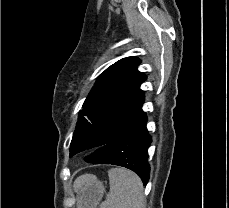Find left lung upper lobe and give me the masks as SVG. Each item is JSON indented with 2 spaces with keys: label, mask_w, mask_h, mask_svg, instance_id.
Wrapping results in <instances>:
<instances>
[{
  "label": "left lung upper lobe",
  "mask_w": 229,
  "mask_h": 208,
  "mask_svg": "<svg viewBox=\"0 0 229 208\" xmlns=\"http://www.w3.org/2000/svg\"><path fill=\"white\" fill-rule=\"evenodd\" d=\"M140 62L137 57L123 58L98 77L82 106L70 150L99 131L127 129L145 115L139 87L146 76L137 70Z\"/></svg>",
  "instance_id": "5c2ea615"
}]
</instances>
